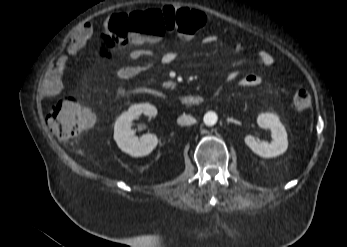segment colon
Returning a JSON list of instances; mask_svg holds the SVG:
<instances>
[{
    "label": "colon",
    "mask_w": 347,
    "mask_h": 247,
    "mask_svg": "<svg viewBox=\"0 0 347 247\" xmlns=\"http://www.w3.org/2000/svg\"><path fill=\"white\" fill-rule=\"evenodd\" d=\"M204 13L187 8L164 7L131 13L113 14L105 25L102 37V55L111 49L126 45L130 40H159L168 32L191 36L206 24ZM311 95L305 88H297L293 104L298 110L311 105ZM92 113L74 98L58 100L48 115L50 131L63 140L72 139L93 126Z\"/></svg>",
    "instance_id": "colon-1"
}]
</instances>
